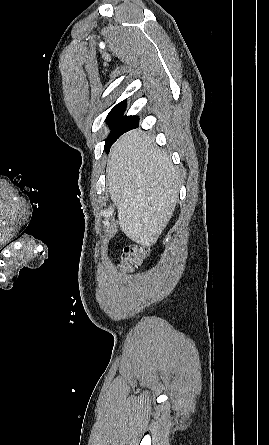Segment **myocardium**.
<instances>
[{"label": "myocardium", "instance_id": "myocardium-1", "mask_svg": "<svg viewBox=\"0 0 269 445\" xmlns=\"http://www.w3.org/2000/svg\"><path fill=\"white\" fill-rule=\"evenodd\" d=\"M9 239V237H7V238H5V239H2V240H0V245L1 244H3L4 242H6L7 240Z\"/></svg>", "mask_w": 269, "mask_h": 445}]
</instances>
